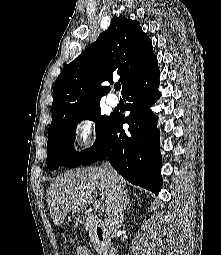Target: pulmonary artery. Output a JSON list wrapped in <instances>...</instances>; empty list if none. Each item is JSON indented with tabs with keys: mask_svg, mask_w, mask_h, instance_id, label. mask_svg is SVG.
I'll list each match as a JSON object with an SVG mask.
<instances>
[{
	"mask_svg": "<svg viewBox=\"0 0 221 255\" xmlns=\"http://www.w3.org/2000/svg\"><path fill=\"white\" fill-rule=\"evenodd\" d=\"M107 102L111 106H116L118 104V97L114 94H110L107 96Z\"/></svg>",
	"mask_w": 221,
	"mask_h": 255,
	"instance_id": "1",
	"label": "pulmonary artery"
}]
</instances>
